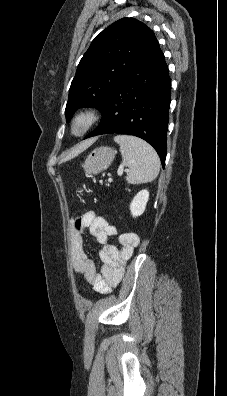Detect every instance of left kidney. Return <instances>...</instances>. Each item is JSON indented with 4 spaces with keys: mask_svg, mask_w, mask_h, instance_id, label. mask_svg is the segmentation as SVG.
Returning a JSON list of instances; mask_svg holds the SVG:
<instances>
[{
    "mask_svg": "<svg viewBox=\"0 0 227 396\" xmlns=\"http://www.w3.org/2000/svg\"><path fill=\"white\" fill-rule=\"evenodd\" d=\"M149 199L148 190H141L136 194L130 204V211L133 217H137L143 214L146 208V204Z\"/></svg>",
    "mask_w": 227,
    "mask_h": 396,
    "instance_id": "1",
    "label": "left kidney"
}]
</instances>
